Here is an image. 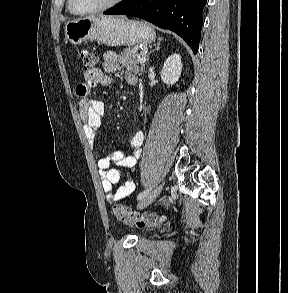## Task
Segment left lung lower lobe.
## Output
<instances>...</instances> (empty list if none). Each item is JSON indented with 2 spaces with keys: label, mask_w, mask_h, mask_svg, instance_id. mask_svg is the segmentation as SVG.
<instances>
[{
  "label": "left lung lower lobe",
  "mask_w": 288,
  "mask_h": 293,
  "mask_svg": "<svg viewBox=\"0 0 288 293\" xmlns=\"http://www.w3.org/2000/svg\"><path fill=\"white\" fill-rule=\"evenodd\" d=\"M207 0H123L104 14L139 17L177 33L196 54Z\"/></svg>",
  "instance_id": "0a47b994"
}]
</instances>
